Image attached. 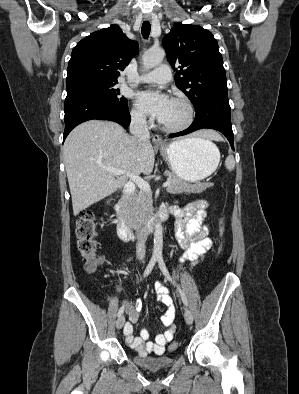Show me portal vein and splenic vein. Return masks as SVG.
Segmentation results:
<instances>
[{"mask_svg":"<svg viewBox=\"0 0 299 394\" xmlns=\"http://www.w3.org/2000/svg\"><path fill=\"white\" fill-rule=\"evenodd\" d=\"M104 168L107 171L113 173V175H115V176L127 174L128 177L132 180V182L135 183L142 191H144V192H150L151 191V187H150L149 183L146 182L145 180H143L138 175L127 173V171H125L123 169H116V168H109V167H104ZM170 184H171V182L167 181V182L163 183L162 186L164 188H166Z\"/></svg>","mask_w":299,"mask_h":394,"instance_id":"1","label":"portal vein and splenic vein"}]
</instances>
